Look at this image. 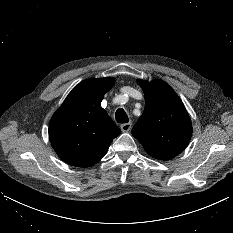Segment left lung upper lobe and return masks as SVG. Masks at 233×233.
<instances>
[{"label": "left lung upper lobe", "instance_id": "obj_1", "mask_svg": "<svg viewBox=\"0 0 233 233\" xmlns=\"http://www.w3.org/2000/svg\"><path fill=\"white\" fill-rule=\"evenodd\" d=\"M145 109L132 129L133 136L153 158L169 160L187 146L192 125L181 99L164 81H138Z\"/></svg>", "mask_w": 233, "mask_h": 233}]
</instances>
